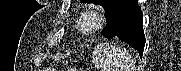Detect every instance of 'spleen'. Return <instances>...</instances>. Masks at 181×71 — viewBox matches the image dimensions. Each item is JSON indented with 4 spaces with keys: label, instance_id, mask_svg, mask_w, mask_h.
<instances>
[{
    "label": "spleen",
    "instance_id": "obj_1",
    "mask_svg": "<svg viewBox=\"0 0 181 71\" xmlns=\"http://www.w3.org/2000/svg\"><path fill=\"white\" fill-rule=\"evenodd\" d=\"M92 61L100 71H135V60L128 51L106 42L94 48Z\"/></svg>",
    "mask_w": 181,
    "mask_h": 71
}]
</instances>
